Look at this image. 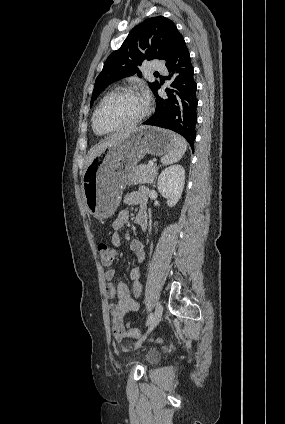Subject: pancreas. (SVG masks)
Wrapping results in <instances>:
<instances>
[{
	"label": "pancreas",
	"mask_w": 285,
	"mask_h": 424,
	"mask_svg": "<svg viewBox=\"0 0 285 424\" xmlns=\"http://www.w3.org/2000/svg\"><path fill=\"white\" fill-rule=\"evenodd\" d=\"M157 175V167L155 164H141L136 167L132 175L129 185L151 184Z\"/></svg>",
	"instance_id": "1"
}]
</instances>
